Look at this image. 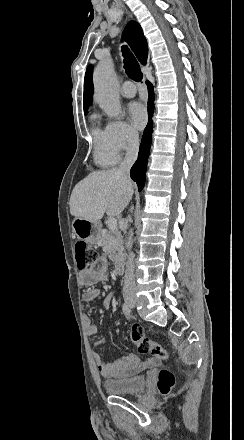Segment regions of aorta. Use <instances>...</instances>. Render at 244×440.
Segmentation results:
<instances>
[{
	"label": "aorta",
	"instance_id": "1",
	"mask_svg": "<svg viewBox=\"0 0 244 440\" xmlns=\"http://www.w3.org/2000/svg\"><path fill=\"white\" fill-rule=\"evenodd\" d=\"M94 98L100 108L110 118H117L121 115V103L119 98V83L111 63L107 60L98 63L93 75ZM133 230H130L126 248L133 244Z\"/></svg>",
	"mask_w": 244,
	"mask_h": 440
}]
</instances>
